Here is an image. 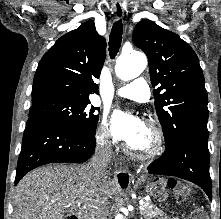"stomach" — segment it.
I'll return each mask as SVG.
<instances>
[{
	"label": "stomach",
	"mask_w": 221,
	"mask_h": 219,
	"mask_svg": "<svg viewBox=\"0 0 221 219\" xmlns=\"http://www.w3.org/2000/svg\"><path fill=\"white\" fill-rule=\"evenodd\" d=\"M176 178H151L145 186L147 195H150L152 199H173V194H168V191H172V186H167V183H176Z\"/></svg>",
	"instance_id": "0dacf381"
}]
</instances>
